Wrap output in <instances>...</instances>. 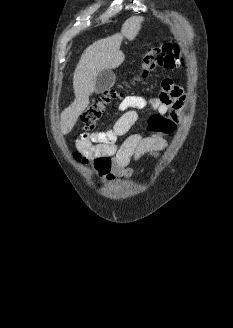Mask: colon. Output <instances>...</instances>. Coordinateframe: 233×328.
<instances>
[{
  "instance_id": "5ec220e1",
  "label": "colon",
  "mask_w": 233,
  "mask_h": 328,
  "mask_svg": "<svg viewBox=\"0 0 233 328\" xmlns=\"http://www.w3.org/2000/svg\"><path fill=\"white\" fill-rule=\"evenodd\" d=\"M184 65V58L181 49L176 44L163 43L148 49L144 56L138 77L146 78L151 72L158 68L173 69ZM119 96L117 90H110L99 96L85 109L81 115V121L85 129H93L107 106L115 101ZM176 122L167 115L160 113L153 114L148 121V130L152 135H167L175 130ZM76 158L82 156L76 153ZM86 161L85 158H83ZM94 165L101 173H106L111 166V160L107 156L96 158Z\"/></svg>"
}]
</instances>
